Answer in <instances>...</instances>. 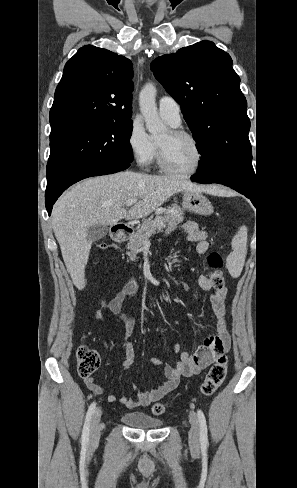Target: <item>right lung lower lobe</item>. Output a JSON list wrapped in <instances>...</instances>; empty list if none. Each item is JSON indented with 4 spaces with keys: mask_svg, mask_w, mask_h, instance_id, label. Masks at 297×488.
I'll use <instances>...</instances> for the list:
<instances>
[{
    "mask_svg": "<svg viewBox=\"0 0 297 488\" xmlns=\"http://www.w3.org/2000/svg\"><path fill=\"white\" fill-rule=\"evenodd\" d=\"M131 163H111V164H102V165H94L87 168H84L71 176L65 178L55 187L50 190H46L45 193V205L48 211V214H51L52 207L58 197L72 184L88 178L92 176H99V175H106L116 173L122 170L127 169Z\"/></svg>",
    "mask_w": 297,
    "mask_h": 488,
    "instance_id": "obj_1",
    "label": "right lung lower lobe"
}]
</instances>
